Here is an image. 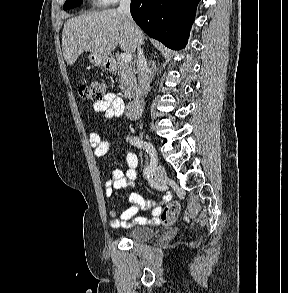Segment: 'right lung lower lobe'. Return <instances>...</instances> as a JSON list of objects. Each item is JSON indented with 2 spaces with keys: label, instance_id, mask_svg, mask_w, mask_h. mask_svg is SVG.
Returning <instances> with one entry per match:
<instances>
[{
  "label": "right lung lower lobe",
  "instance_id": "right-lung-lower-lobe-1",
  "mask_svg": "<svg viewBox=\"0 0 288 293\" xmlns=\"http://www.w3.org/2000/svg\"><path fill=\"white\" fill-rule=\"evenodd\" d=\"M200 0H131V15L150 37L171 49L186 46Z\"/></svg>",
  "mask_w": 288,
  "mask_h": 293
}]
</instances>
